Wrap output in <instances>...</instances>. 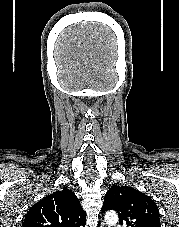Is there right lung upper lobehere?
<instances>
[{
    "mask_svg": "<svg viewBox=\"0 0 179 227\" xmlns=\"http://www.w3.org/2000/svg\"><path fill=\"white\" fill-rule=\"evenodd\" d=\"M86 212L68 188L54 192L27 212L23 227H85Z\"/></svg>",
    "mask_w": 179,
    "mask_h": 227,
    "instance_id": "cb5924a9",
    "label": "right lung upper lobe"
}]
</instances>
